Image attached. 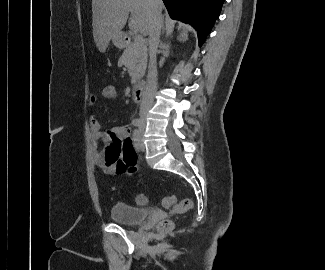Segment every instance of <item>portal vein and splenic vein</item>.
I'll list each match as a JSON object with an SVG mask.
<instances>
[{"mask_svg": "<svg viewBox=\"0 0 325 270\" xmlns=\"http://www.w3.org/2000/svg\"><path fill=\"white\" fill-rule=\"evenodd\" d=\"M134 40H135V42H136L137 44H139V45L144 44V38H143V36L140 35V34L135 33V38H134Z\"/></svg>", "mask_w": 325, "mask_h": 270, "instance_id": "1", "label": "portal vein and splenic vein"}]
</instances>
